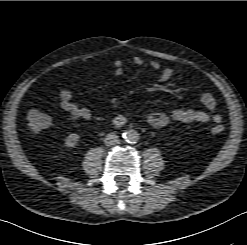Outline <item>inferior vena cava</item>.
Returning a JSON list of instances; mask_svg holds the SVG:
<instances>
[{"instance_id":"602c4592","label":"inferior vena cava","mask_w":247,"mask_h":245,"mask_svg":"<svg viewBox=\"0 0 247 245\" xmlns=\"http://www.w3.org/2000/svg\"><path fill=\"white\" fill-rule=\"evenodd\" d=\"M104 143L107 146L115 145L118 143V135L115 133H109L105 136Z\"/></svg>"}]
</instances>
